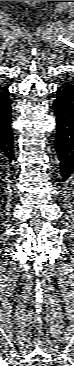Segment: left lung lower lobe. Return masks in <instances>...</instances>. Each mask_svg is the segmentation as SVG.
<instances>
[{
    "label": "left lung lower lobe",
    "instance_id": "0a47b994",
    "mask_svg": "<svg viewBox=\"0 0 74 366\" xmlns=\"http://www.w3.org/2000/svg\"><path fill=\"white\" fill-rule=\"evenodd\" d=\"M56 115V149L63 179L74 175V80L62 84L53 103Z\"/></svg>",
    "mask_w": 74,
    "mask_h": 366
}]
</instances>
